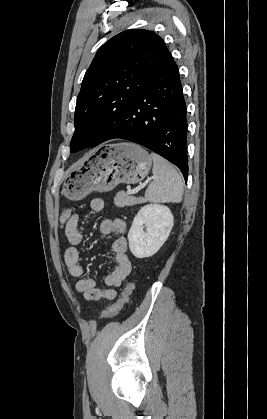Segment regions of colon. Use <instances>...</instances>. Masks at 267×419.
<instances>
[{"instance_id":"obj_1","label":"colon","mask_w":267,"mask_h":419,"mask_svg":"<svg viewBox=\"0 0 267 419\" xmlns=\"http://www.w3.org/2000/svg\"><path fill=\"white\" fill-rule=\"evenodd\" d=\"M74 214V210L71 208L63 210L60 216V223L65 225L71 216ZM133 290V284L131 282L127 283L125 288L123 289L120 297L111 304L107 310L103 311L100 319L106 320L115 317L119 314L123 306L128 302L129 296L131 295Z\"/></svg>"}]
</instances>
